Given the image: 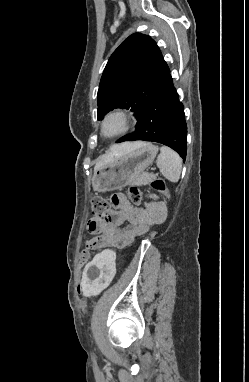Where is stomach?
I'll return each instance as SVG.
<instances>
[{
  "label": "stomach",
  "instance_id": "stomach-1",
  "mask_svg": "<svg viewBox=\"0 0 249 382\" xmlns=\"http://www.w3.org/2000/svg\"><path fill=\"white\" fill-rule=\"evenodd\" d=\"M157 153V146L143 143L142 146L116 157L111 163L95 170L92 178L94 191H112L129 185L154 162Z\"/></svg>",
  "mask_w": 249,
  "mask_h": 382
}]
</instances>
